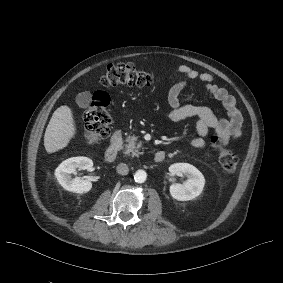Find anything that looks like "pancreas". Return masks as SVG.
<instances>
[{
    "label": "pancreas",
    "mask_w": 283,
    "mask_h": 283,
    "mask_svg": "<svg viewBox=\"0 0 283 283\" xmlns=\"http://www.w3.org/2000/svg\"><path fill=\"white\" fill-rule=\"evenodd\" d=\"M136 141L137 137L131 134L126 139L127 149L125 150V152L133 157L144 153L143 150H140L141 144H136Z\"/></svg>",
    "instance_id": "obj_1"
}]
</instances>
